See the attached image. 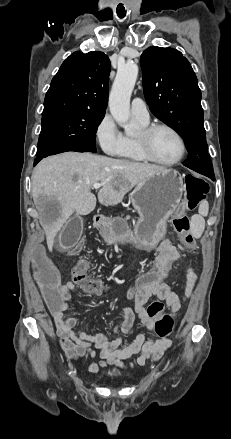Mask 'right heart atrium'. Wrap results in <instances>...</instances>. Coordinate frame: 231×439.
<instances>
[{"instance_id": "obj_1", "label": "right heart atrium", "mask_w": 231, "mask_h": 439, "mask_svg": "<svg viewBox=\"0 0 231 439\" xmlns=\"http://www.w3.org/2000/svg\"><path fill=\"white\" fill-rule=\"evenodd\" d=\"M95 137L102 151L110 156L120 153L123 147V134L110 114H105L98 122Z\"/></svg>"}]
</instances>
